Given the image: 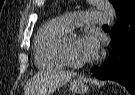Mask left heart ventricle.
Segmentation results:
<instances>
[{
  "instance_id": "1",
  "label": "left heart ventricle",
  "mask_w": 135,
  "mask_h": 95,
  "mask_svg": "<svg viewBox=\"0 0 135 95\" xmlns=\"http://www.w3.org/2000/svg\"><path fill=\"white\" fill-rule=\"evenodd\" d=\"M79 38L77 36H69L67 42V51L71 59L82 62L83 60L78 53Z\"/></svg>"
}]
</instances>
